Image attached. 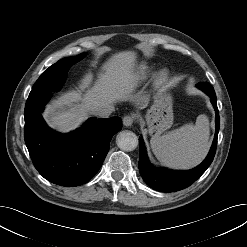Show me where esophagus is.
I'll use <instances>...</instances> for the list:
<instances>
[{
	"label": "esophagus",
	"instance_id": "esophagus-1",
	"mask_svg": "<svg viewBox=\"0 0 247 247\" xmlns=\"http://www.w3.org/2000/svg\"><path fill=\"white\" fill-rule=\"evenodd\" d=\"M134 120H135L134 116L127 115L123 118V124L126 127H130L134 123Z\"/></svg>",
	"mask_w": 247,
	"mask_h": 247
}]
</instances>
